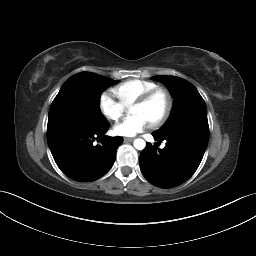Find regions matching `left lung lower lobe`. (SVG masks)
<instances>
[{"mask_svg":"<svg viewBox=\"0 0 256 256\" xmlns=\"http://www.w3.org/2000/svg\"><path fill=\"white\" fill-rule=\"evenodd\" d=\"M152 135L157 141L167 142L162 150L147 143L139 157L144 177L160 188L176 187L187 181L197 170L208 143L185 135Z\"/></svg>","mask_w":256,"mask_h":256,"instance_id":"1","label":"left lung lower lobe"}]
</instances>
